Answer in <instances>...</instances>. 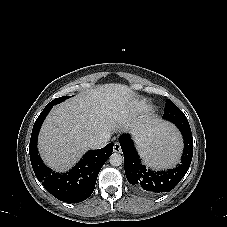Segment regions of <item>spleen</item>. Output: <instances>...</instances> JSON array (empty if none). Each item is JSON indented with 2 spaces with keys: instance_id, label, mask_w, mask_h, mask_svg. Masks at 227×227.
<instances>
[{
  "instance_id": "obj_1",
  "label": "spleen",
  "mask_w": 227,
  "mask_h": 227,
  "mask_svg": "<svg viewBox=\"0 0 227 227\" xmlns=\"http://www.w3.org/2000/svg\"><path fill=\"white\" fill-rule=\"evenodd\" d=\"M130 134L134 142L141 146V157L153 168L175 165L183 157L181 132L168 119L158 115L139 118L132 124Z\"/></svg>"
}]
</instances>
